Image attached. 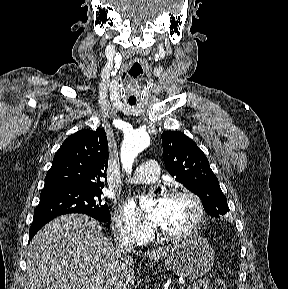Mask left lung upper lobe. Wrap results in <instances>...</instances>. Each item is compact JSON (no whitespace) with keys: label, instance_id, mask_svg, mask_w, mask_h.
I'll list each match as a JSON object with an SVG mask.
<instances>
[{"label":"left lung upper lobe","instance_id":"5c2ea615","mask_svg":"<svg viewBox=\"0 0 288 289\" xmlns=\"http://www.w3.org/2000/svg\"><path fill=\"white\" fill-rule=\"evenodd\" d=\"M163 159L175 180L198 195L207 214L219 217L229 211L227 199L209 161L197 144L182 132L162 134Z\"/></svg>","mask_w":288,"mask_h":289}]
</instances>
